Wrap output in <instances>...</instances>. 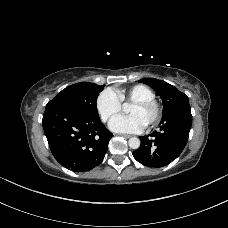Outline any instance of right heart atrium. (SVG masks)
<instances>
[{"instance_id":"d8ad5b80","label":"right heart atrium","mask_w":228,"mask_h":228,"mask_svg":"<svg viewBox=\"0 0 228 228\" xmlns=\"http://www.w3.org/2000/svg\"><path fill=\"white\" fill-rule=\"evenodd\" d=\"M95 105L101 119L105 122L118 114L122 108L120 97L115 90L110 88L99 93Z\"/></svg>"}]
</instances>
